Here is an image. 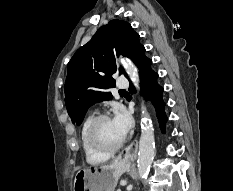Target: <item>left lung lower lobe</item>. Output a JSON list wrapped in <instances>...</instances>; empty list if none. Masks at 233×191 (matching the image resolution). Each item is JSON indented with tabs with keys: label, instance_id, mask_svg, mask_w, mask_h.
<instances>
[{
	"label": "left lung lower lobe",
	"instance_id": "left-lung-lower-lobe-1",
	"mask_svg": "<svg viewBox=\"0 0 233 191\" xmlns=\"http://www.w3.org/2000/svg\"><path fill=\"white\" fill-rule=\"evenodd\" d=\"M151 64L152 60L145 57L138 66L142 93H144L145 97L149 98L155 106L159 125L162 133H164V123L167 121V117L164 112L165 103L162 99L163 88L157 84L158 74L151 69ZM129 91L131 93L135 92L132 84L130 85Z\"/></svg>",
	"mask_w": 233,
	"mask_h": 191
}]
</instances>
